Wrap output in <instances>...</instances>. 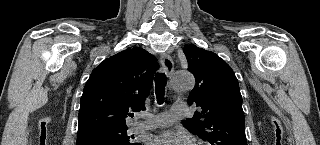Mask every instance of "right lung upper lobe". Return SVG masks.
Returning a JSON list of instances; mask_svg holds the SVG:
<instances>
[{
  "label": "right lung upper lobe",
  "instance_id": "1",
  "mask_svg": "<svg viewBox=\"0 0 320 145\" xmlns=\"http://www.w3.org/2000/svg\"><path fill=\"white\" fill-rule=\"evenodd\" d=\"M157 69V58L139 47L105 59L84 87L78 137L98 129L127 127L129 111L144 109Z\"/></svg>",
  "mask_w": 320,
  "mask_h": 145
}]
</instances>
